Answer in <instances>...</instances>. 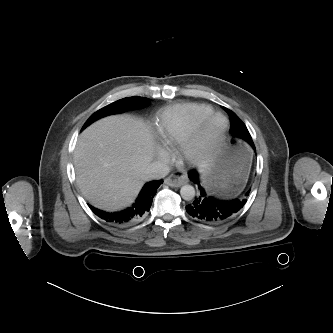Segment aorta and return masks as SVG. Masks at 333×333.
<instances>
[{
  "label": "aorta",
  "mask_w": 333,
  "mask_h": 333,
  "mask_svg": "<svg viewBox=\"0 0 333 333\" xmlns=\"http://www.w3.org/2000/svg\"><path fill=\"white\" fill-rule=\"evenodd\" d=\"M180 194L184 200L190 201L195 197V189L191 185H184L180 189Z\"/></svg>",
  "instance_id": "aorta-1"
}]
</instances>
